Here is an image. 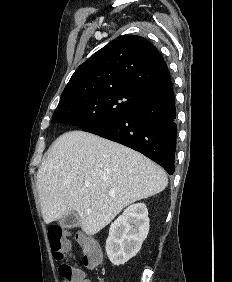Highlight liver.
I'll use <instances>...</instances> for the list:
<instances>
[{
  "mask_svg": "<svg viewBox=\"0 0 232 282\" xmlns=\"http://www.w3.org/2000/svg\"><path fill=\"white\" fill-rule=\"evenodd\" d=\"M167 184L165 171L144 155L81 130L59 136L37 172L44 222L76 211L87 235L98 233L127 205L162 192Z\"/></svg>",
  "mask_w": 232,
  "mask_h": 282,
  "instance_id": "liver-1",
  "label": "liver"
}]
</instances>
